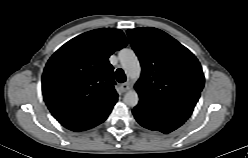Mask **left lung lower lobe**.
<instances>
[{
    "mask_svg": "<svg viewBox=\"0 0 248 158\" xmlns=\"http://www.w3.org/2000/svg\"><path fill=\"white\" fill-rule=\"evenodd\" d=\"M134 114V113H133ZM136 120L138 121V123L145 127V128H148L150 130H158L155 125H153L152 123L148 122L147 120H145L144 118L140 117L139 115L137 114H134ZM159 131V130H158Z\"/></svg>",
    "mask_w": 248,
    "mask_h": 158,
    "instance_id": "1",
    "label": "left lung lower lobe"
}]
</instances>
